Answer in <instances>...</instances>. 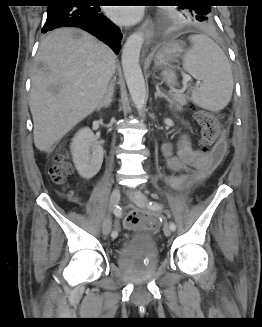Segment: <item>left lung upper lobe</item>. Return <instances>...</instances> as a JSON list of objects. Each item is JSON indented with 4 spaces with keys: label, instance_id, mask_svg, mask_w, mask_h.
Returning <instances> with one entry per match:
<instances>
[{
    "label": "left lung upper lobe",
    "instance_id": "5c2ea615",
    "mask_svg": "<svg viewBox=\"0 0 262 327\" xmlns=\"http://www.w3.org/2000/svg\"><path fill=\"white\" fill-rule=\"evenodd\" d=\"M176 12H162L161 21L164 27L174 25H191L209 27L213 25L211 6L201 4L200 0H180Z\"/></svg>",
    "mask_w": 262,
    "mask_h": 327
}]
</instances>
